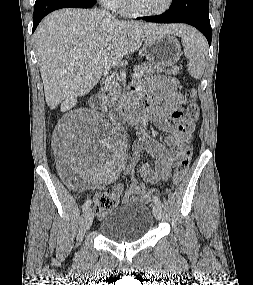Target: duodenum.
<instances>
[{
    "label": "duodenum",
    "mask_w": 253,
    "mask_h": 285,
    "mask_svg": "<svg viewBox=\"0 0 253 285\" xmlns=\"http://www.w3.org/2000/svg\"><path fill=\"white\" fill-rule=\"evenodd\" d=\"M90 106L92 108H100L102 100L99 95H95L90 99ZM118 116L120 120L127 125L139 123L140 116L137 110V102L133 98H129L119 109Z\"/></svg>",
    "instance_id": "410a0bca"
}]
</instances>
